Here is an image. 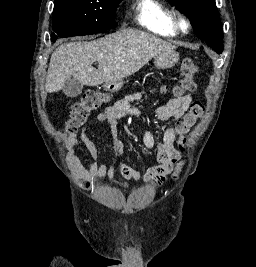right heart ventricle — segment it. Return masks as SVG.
<instances>
[{"label":"right heart ventricle","instance_id":"1","mask_svg":"<svg viewBox=\"0 0 256 267\" xmlns=\"http://www.w3.org/2000/svg\"><path fill=\"white\" fill-rule=\"evenodd\" d=\"M151 0H143L141 7L148 9L151 7ZM143 26L155 36H176L178 30L173 21V15L169 11L156 12L152 22H143Z\"/></svg>","mask_w":256,"mask_h":267}]
</instances>
